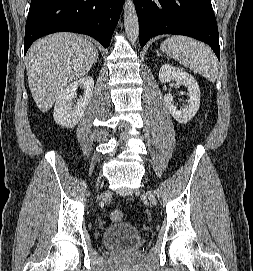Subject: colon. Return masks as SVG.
<instances>
[{"label":"colon","mask_w":253,"mask_h":271,"mask_svg":"<svg viewBox=\"0 0 253 271\" xmlns=\"http://www.w3.org/2000/svg\"><path fill=\"white\" fill-rule=\"evenodd\" d=\"M112 221L119 222L123 219V212L121 210H114L110 213Z\"/></svg>","instance_id":"colon-1"}]
</instances>
